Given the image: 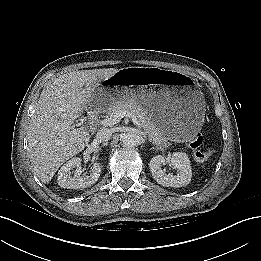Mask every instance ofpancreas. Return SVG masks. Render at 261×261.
<instances>
[{
	"instance_id": "pancreas-1",
	"label": "pancreas",
	"mask_w": 261,
	"mask_h": 261,
	"mask_svg": "<svg viewBox=\"0 0 261 261\" xmlns=\"http://www.w3.org/2000/svg\"><path fill=\"white\" fill-rule=\"evenodd\" d=\"M120 110H127L133 113L140 122L141 126L147 133L149 140L157 147H167L169 145V139L155 126L151 121L150 116L142 105L138 104L134 100L125 102H114L106 110L108 116L114 114Z\"/></svg>"
}]
</instances>
